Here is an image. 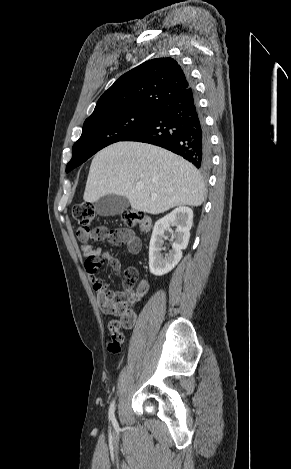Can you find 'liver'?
Returning <instances> with one entry per match:
<instances>
[{
	"label": "liver",
	"mask_w": 291,
	"mask_h": 469,
	"mask_svg": "<svg viewBox=\"0 0 291 469\" xmlns=\"http://www.w3.org/2000/svg\"><path fill=\"white\" fill-rule=\"evenodd\" d=\"M138 183L143 189L136 188ZM205 190L200 173L180 156L151 144L120 141L94 156L83 198L93 203L117 194L134 210L159 214L176 206H200Z\"/></svg>",
	"instance_id": "obj_1"
}]
</instances>
